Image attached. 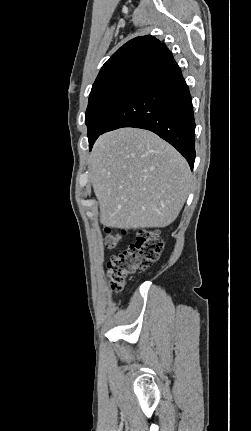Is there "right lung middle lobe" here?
Masks as SVG:
<instances>
[{
    "instance_id": "dd1d6c3e",
    "label": "right lung middle lobe",
    "mask_w": 251,
    "mask_h": 431,
    "mask_svg": "<svg viewBox=\"0 0 251 431\" xmlns=\"http://www.w3.org/2000/svg\"><path fill=\"white\" fill-rule=\"evenodd\" d=\"M148 63L141 61L125 65L93 84L85 117L89 146L102 133L110 117L136 86Z\"/></svg>"
}]
</instances>
